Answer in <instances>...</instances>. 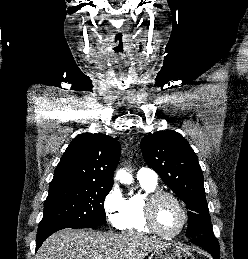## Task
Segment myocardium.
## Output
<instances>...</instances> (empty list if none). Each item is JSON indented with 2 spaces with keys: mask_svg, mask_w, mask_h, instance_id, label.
Here are the masks:
<instances>
[{
  "mask_svg": "<svg viewBox=\"0 0 248 259\" xmlns=\"http://www.w3.org/2000/svg\"><path fill=\"white\" fill-rule=\"evenodd\" d=\"M163 197H168L172 199L177 206L179 207L181 213H182V222L179 227V229L173 233H165L163 232L156 221V206L159 200ZM144 214H145V219L147 222V225L149 228L156 233L157 235L164 237V238H174L177 237L186 227L187 220H188V214H187V209L183 202L177 197L175 194L169 191L165 190H160L157 189L151 193H149L145 199V207H144Z\"/></svg>",
  "mask_w": 248,
  "mask_h": 259,
  "instance_id": "myocardium-1",
  "label": "myocardium"
}]
</instances>
